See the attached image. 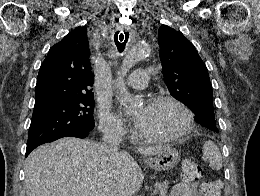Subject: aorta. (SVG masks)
I'll return each mask as SVG.
<instances>
[{"label": "aorta", "mask_w": 260, "mask_h": 196, "mask_svg": "<svg viewBox=\"0 0 260 196\" xmlns=\"http://www.w3.org/2000/svg\"><path fill=\"white\" fill-rule=\"evenodd\" d=\"M149 52L150 48L148 45L137 44L127 52L118 71V78L116 81V87L119 93L118 99L130 111L136 107V105L139 103V99L133 97L128 92V89L124 82V77L135 64L145 59L149 55Z\"/></svg>", "instance_id": "762f6f07"}]
</instances>
